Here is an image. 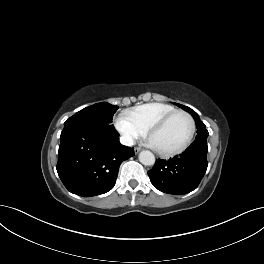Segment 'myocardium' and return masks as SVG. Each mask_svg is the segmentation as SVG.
Masks as SVG:
<instances>
[{
	"label": "myocardium",
	"instance_id": "1",
	"mask_svg": "<svg viewBox=\"0 0 264 264\" xmlns=\"http://www.w3.org/2000/svg\"><path fill=\"white\" fill-rule=\"evenodd\" d=\"M177 115H184L185 117L188 118V120L190 121V124H191V130H190L189 136L186 139V141L181 146H179L177 148L167 150V151H162V150H159L156 147H154V149L156 150V152L158 154L165 156V157L178 155V154L184 152L191 145V143L194 139L195 133H196V123H195L193 116L187 111L175 110V111L167 114L163 118H161L148 131V138H149V140H151L152 136L155 133H157L158 131L163 129L167 125V123Z\"/></svg>",
	"mask_w": 264,
	"mask_h": 264
}]
</instances>
